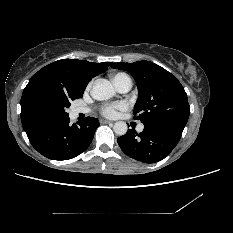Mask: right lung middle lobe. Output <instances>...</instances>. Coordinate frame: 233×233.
<instances>
[{
    "mask_svg": "<svg viewBox=\"0 0 233 233\" xmlns=\"http://www.w3.org/2000/svg\"><path fill=\"white\" fill-rule=\"evenodd\" d=\"M82 96L77 97H68V96H58L50 98L47 103L46 107L48 111L56 117L58 120H63L68 118V113L66 109L70 106V101L80 98Z\"/></svg>",
    "mask_w": 233,
    "mask_h": 233,
    "instance_id": "obj_1",
    "label": "right lung middle lobe"
}]
</instances>
